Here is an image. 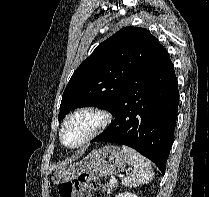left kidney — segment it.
<instances>
[{"label":"left kidney","mask_w":209,"mask_h":197,"mask_svg":"<svg viewBox=\"0 0 209 197\" xmlns=\"http://www.w3.org/2000/svg\"><path fill=\"white\" fill-rule=\"evenodd\" d=\"M116 197H137V196L131 192H124V193L119 194Z\"/></svg>","instance_id":"1"}]
</instances>
